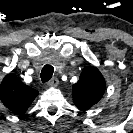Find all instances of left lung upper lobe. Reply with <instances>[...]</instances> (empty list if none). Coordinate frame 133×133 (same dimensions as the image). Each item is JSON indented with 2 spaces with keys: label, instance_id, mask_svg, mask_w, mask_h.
<instances>
[{
  "label": "left lung upper lobe",
  "instance_id": "left-lung-upper-lobe-1",
  "mask_svg": "<svg viewBox=\"0 0 133 133\" xmlns=\"http://www.w3.org/2000/svg\"><path fill=\"white\" fill-rule=\"evenodd\" d=\"M105 79L94 66L82 70L79 81L72 86V96L75 105L85 110L96 104L105 91Z\"/></svg>",
  "mask_w": 133,
  "mask_h": 133
}]
</instances>
